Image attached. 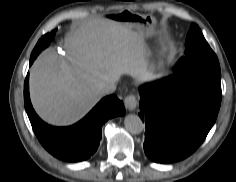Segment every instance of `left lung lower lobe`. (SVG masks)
<instances>
[{
	"label": "left lung lower lobe",
	"instance_id": "0a47b994",
	"mask_svg": "<svg viewBox=\"0 0 236 182\" xmlns=\"http://www.w3.org/2000/svg\"><path fill=\"white\" fill-rule=\"evenodd\" d=\"M179 72L139 88L144 152L157 163L190 156L215 123L221 104V79Z\"/></svg>",
	"mask_w": 236,
	"mask_h": 182
}]
</instances>
